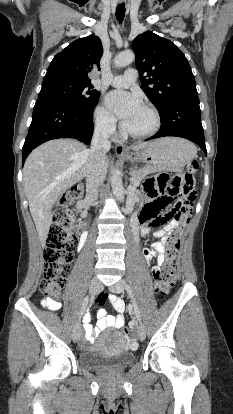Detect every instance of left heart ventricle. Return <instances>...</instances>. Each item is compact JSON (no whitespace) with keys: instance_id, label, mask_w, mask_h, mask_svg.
Wrapping results in <instances>:
<instances>
[{"instance_id":"left-heart-ventricle-1","label":"left heart ventricle","mask_w":233,"mask_h":414,"mask_svg":"<svg viewBox=\"0 0 233 414\" xmlns=\"http://www.w3.org/2000/svg\"><path fill=\"white\" fill-rule=\"evenodd\" d=\"M125 127L134 133H145L154 126L153 115L143 107L126 123Z\"/></svg>"}]
</instances>
